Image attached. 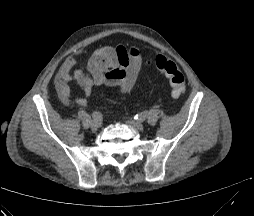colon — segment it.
Wrapping results in <instances>:
<instances>
[{
	"label": "colon",
	"instance_id": "5ec220e1",
	"mask_svg": "<svg viewBox=\"0 0 254 216\" xmlns=\"http://www.w3.org/2000/svg\"><path fill=\"white\" fill-rule=\"evenodd\" d=\"M146 66L156 68L163 76H165L171 87V95L178 98L185 92V78L177 65L170 59L164 56H157L153 59H148L145 62Z\"/></svg>",
	"mask_w": 254,
	"mask_h": 216
}]
</instances>
